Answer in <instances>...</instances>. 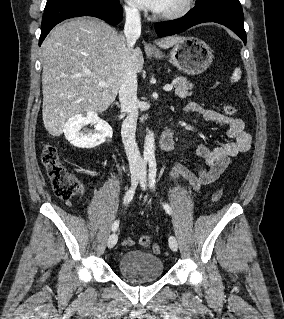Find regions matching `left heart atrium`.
I'll use <instances>...</instances> for the list:
<instances>
[{
  "instance_id": "1",
  "label": "left heart atrium",
  "mask_w": 284,
  "mask_h": 319,
  "mask_svg": "<svg viewBox=\"0 0 284 319\" xmlns=\"http://www.w3.org/2000/svg\"><path fill=\"white\" fill-rule=\"evenodd\" d=\"M163 1L164 0H130L131 3L139 8L153 12H159L163 5Z\"/></svg>"
}]
</instances>
